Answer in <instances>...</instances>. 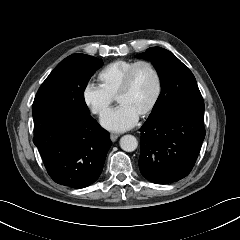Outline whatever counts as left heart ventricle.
<instances>
[{"mask_svg": "<svg viewBox=\"0 0 240 240\" xmlns=\"http://www.w3.org/2000/svg\"><path fill=\"white\" fill-rule=\"evenodd\" d=\"M156 92V79L145 65L139 66L133 75L131 89L119 100L138 116L147 108Z\"/></svg>", "mask_w": 240, "mask_h": 240, "instance_id": "1", "label": "left heart ventricle"}]
</instances>
